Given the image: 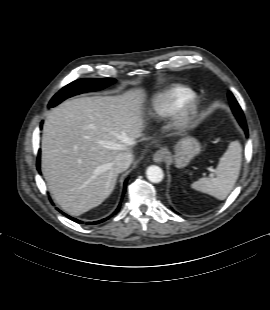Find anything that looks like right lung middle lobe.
I'll return each mask as SVG.
<instances>
[{"label":"right lung middle lobe","mask_w":270,"mask_h":310,"mask_svg":"<svg viewBox=\"0 0 270 310\" xmlns=\"http://www.w3.org/2000/svg\"><path fill=\"white\" fill-rule=\"evenodd\" d=\"M112 78H85L73 81L63 87L50 101L49 107H54L66 98L83 92L101 90L114 83Z\"/></svg>","instance_id":"1"}]
</instances>
